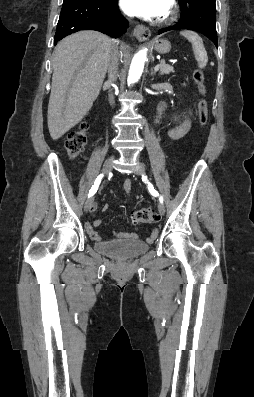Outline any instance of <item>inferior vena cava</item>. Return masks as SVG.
I'll return each mask as SVG.
<instances>
[{
  "label": "inferior vena cava",
  "mask_w": 254,
  "mask_h": 397,
  "mask_svg": "<svg viewBox=\"0 0 254 397\" xmlns=\"http://www.w3.org/2000/svg\"><path fill=\"white\" fill-rule=\"evenodd\" d=\"M120 53L117 47L112 48L110 52L109 64H108V82L114 83L118 77V61ZM110 104H113V97L110 92L109 94Z\"/></svg>",
  "instance_id": "inferior-vena-cava-1"
}]
</instances>
